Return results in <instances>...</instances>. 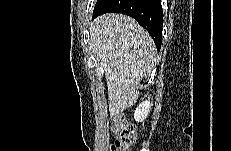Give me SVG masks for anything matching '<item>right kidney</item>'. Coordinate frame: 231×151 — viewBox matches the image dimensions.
Segmentation results:
<instances>
[{
  "label": "right kidney",
  "mask_w": 231,
  "mask_h": 151,
  "mask_svg": "<svg viewBox=\"0 0 231 151\" xmlns=\"http://www.w3.org/2000/svg\"><path fill=\"white\" fill-rule=\"evenodd\" d=\"M151 105L150 101H144L139 104L134 112V118L137 122H142L148 117Z\"/></svg>",
  "instance_id": "1"
}]
</instances>
